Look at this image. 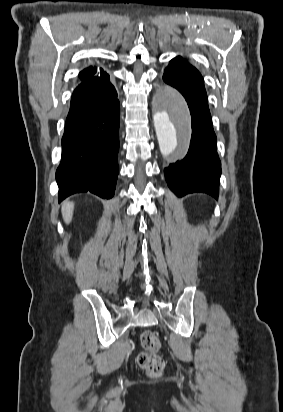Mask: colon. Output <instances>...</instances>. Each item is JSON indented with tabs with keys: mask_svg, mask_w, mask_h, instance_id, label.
<instances>
[{
	"mask_svg": "<svg viewBox=\"0 0 283 412\" xmlns=\"http://www.w3.org/2000/svg\"><path fill=\"white\" fill-rule=\"evenodd\" d=\"M140 343L143 350L138 354L137 362L150 376H159L162 374L165 363L159 355L161 342L157 335L150 330L142 332Z\"/></svg>",
	"mask_w": 283,
	"mask_h": 412,
	"instance_id": "obj_1",
	"label": "colon"
}]
</instances>
